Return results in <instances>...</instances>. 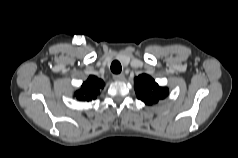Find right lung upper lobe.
<instances>
[{"label": "right lung upper lobe", "mask_w": 238, "mask_h": 158, "mask_svg": "<svg viewBox=\"0 0 238 158\" xmlns=\"http://www.w3.org/2000/svg\"><path fill=\"white\" fill-rule=\"evenodd\" d=\"M103 87V80L96 76H89V78L82 84L81 89L75 92V96L78 100H94Z\"/></svg>", "instance_id": "right-lung-upper-lobe-1"}]
</instances>
